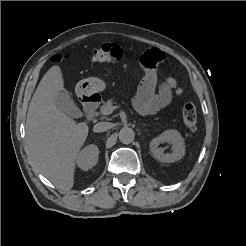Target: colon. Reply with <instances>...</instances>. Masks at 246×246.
<instances>
[{"label": "colon", "instance_id": "1", "mask_svg": "<svg viewBox=\"0 0 246 246\" xmlns=\"http://www.w3.org/2000/svg\"><path fill=\"white\" fill-rule=\"evenodd\" d=\"M122 49L114 43H108L97 48L92 53V60L97 63H119L122 60ZM68 58V55H55L54 62H61ZM175 86V82L170 79ZM182 122L186 129H193L197 123V108L195 104L188 102L182 109Z\"/></svg>", "mask_w": 246, "mask_h": 246}]
</instances>
